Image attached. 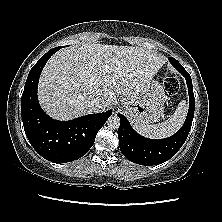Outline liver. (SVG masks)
Segmentation results:
<instances>
[{
    "mask_svg": "<svg viewBox=\"0 0 222 222\" xmlns=\"http://www.w3.org/2000/svg\"><path fill=\"white\" fill-rule=\"evenodd\" d=\"M165 59L133 46L88 43L55 53L45 65L38 85L39 102L52 118L69 120L91 113L85 101L97 98L105 111L118 95L137 97Z\"/></svg>",
    "mask_w": 222,
    "mask_h": 222,
    "instance_id": "1",
    "label": "liver"
}]
</instances>
